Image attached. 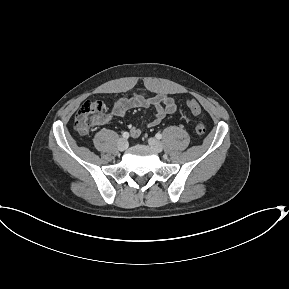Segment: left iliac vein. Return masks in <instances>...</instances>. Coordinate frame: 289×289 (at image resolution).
I'll return each mask as SVG.
<instances>
[{
    "label": "left iliac vein",
    "mask_w": 289,
    "mask_h": 289,
    "mask_svg": "<svg viewBox=\"0 0 289 289\" xmlns=\"http://www.w3.org/2000/svg\"><path fill=\"white\" fill-rule=\"evenodd\" d=\"M148 143L154 149V151H156L158 153L163 151V145L159 140H157L155 138H149Z\"/></svg>",
    "instance_id": "left-iliac-vein-1"
}]
</instances>
